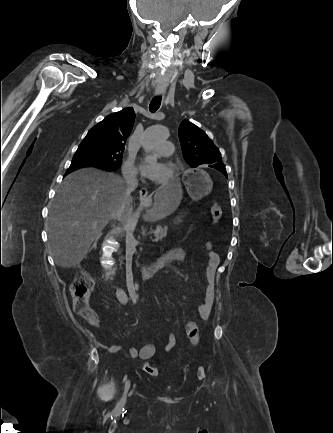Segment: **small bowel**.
Returning a JSON list of instances; mask_svg holds the SVG:
<instances>
[{
	"mask_svg": "<svg viewBox=\"0 0 333 433\" xmlns=\"http://www.w3.org/2000/svg\"><path fill=\"white\" fill-rule=\"evenodd\" d=\"M205 248L207 251V264H206V271L208 275H212L217 270L219 263H220V256L212 251V245L210 242L205 243ZM171 257L178 261H184L187 257V253L183 248H177L173 250L170 253ZM214 304V290L213 287L208 284L205 288V294L202 302L197 306V313L202 319H208L212 313V308ZM93 327L98 330L99 324L97 319L95 318L92 321ZM196 326V323L193 321H190V324L184 325L185 332L189 335V333L194 329ZM92 339L94 340L95 344L105 349L109 353H116L119 351L120 346L117 344H109L104 345L100 343L97 339V336L95 333L91 334ZM176 343V336L174 333H170L167 337V341L164 347L165 351H170L173 349ZM156 352V346L153 341H149L146 344H144L141 348L132 347L130 349V355L133 358H140L141 360H149L154 356Z\"/></svg>",
	"mask_w": 333,
	"mask_h": 433,
	"instance_id": "obj_1",
	"label": "small bowel"
}]
</instances>
